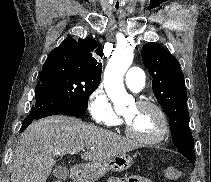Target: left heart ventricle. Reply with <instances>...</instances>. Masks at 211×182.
Here are the masks:
<instances>
[{
    "instance_id": "left-heart-ventricle-1",
    "label": "left heart ventricle",
    "mask_w": 211,
    "mask_h": 182,
    "mask_svg": "<svg viewBox=\"0 0 211 182\" xmlns=\"http://www.w3.org/2000/svg\"><path fill=\"white\" fill-rule=\"evenodd\" d=\"M124 117L132 132L141 138H152L162 128L161 119L152 108L138 107L134 104L124 113Z\"/></svg>"
}]
</instances>
